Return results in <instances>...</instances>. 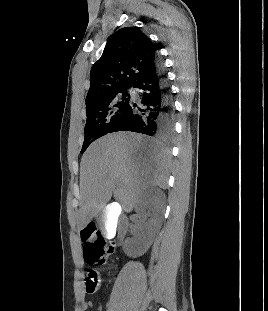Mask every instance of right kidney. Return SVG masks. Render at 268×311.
I'll return each instance as SVG.
<instances>
[{"instance_id": "1", "label": "right kidney", "mask_w": 268, "mask_h": 311, "mask_svg": "<svg viewBox=\"0 0 268 311\" xmlns=\"http://www.w3.org/2000/svg\"><path fill=\"white\" fill-rule=\"evenodd\" d=\"M165 194L156 187L146 190L138 200L135 210L145 219L136 237L125 240L123 249L128 256L143 255L151 246L161 228L165 213Z\"/></svg>"}]
</instances>
